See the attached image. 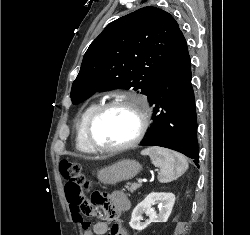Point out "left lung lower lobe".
I'll return each mask as SVG.
<instances>
[{
  "mask_svg": "<svg viewBox=\"0 0 250 235\" xmlns=\"http://www.w3.org/2000/svg\"><path fill=\"white\" fill-rule=\"evenodd\" d=\"M191 63L186 40L178 35L148 91L153 124L143 146L166 147L198 165L197 124Z\"/></svg>",
  "mask_w": 250,
  "mask_h": 235,
  "instance_id": "left-lung-lower-lobe-1",
  "label": "left lung lower lobe"
}]
</instances>
